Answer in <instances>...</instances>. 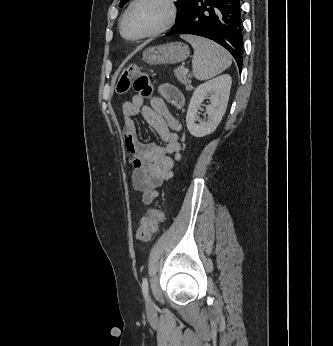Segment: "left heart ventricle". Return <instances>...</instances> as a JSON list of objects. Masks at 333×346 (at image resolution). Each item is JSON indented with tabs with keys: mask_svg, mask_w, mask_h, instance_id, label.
Returning <instances> with one entry per match:
<instances>
[{
	"mask_svg": "<svg viewBox=\"0 0 333 346\" xmlns=\"http://www.w3.org/2000/svg\"><path fill=\"white\" fill-rule=\"evenodd\" d=\"M168 9L161 0H142L130 11L124 23L129 37L139 36L158 29L164 24Z\"/></svg>",
	"mask_w": 333,
	"mask_h": 346,
	"instance_id": "1",
	"label": "left heart ventricle"
}]
</instances>
